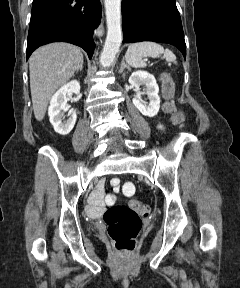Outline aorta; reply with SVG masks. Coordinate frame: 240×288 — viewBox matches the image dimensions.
I'll return each mask as SVG.
<instances>
[{
	"label": "aorta",
	"mask_w": 240,
	"mask_h": 288,
	"mask_svg": "<svg viewBox=\"0 0 240 288\" xmlns=\"http://www.w3.org/2000/svg\"><path fill=\"white\" fill-rule=\"evenodd\" d=\"M107 37L100 55V65L109 67L119 51L122 42L121 0H105Z\"/></svg>",
	"instance_id": "762f6f07"
}]
</instances>
